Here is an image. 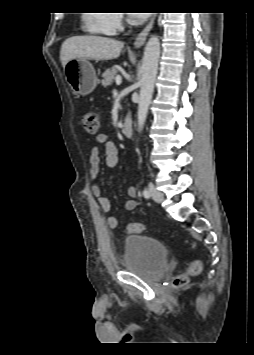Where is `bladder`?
Returning <instances> with one entry per match:
<instances>
[{
    "mask_svg": "<svg viewBox=\"0 0 254 355\" xmlns=\"http://www.w3.org/2000/svg\"><path fill=\"white\" fill-rule=\"evenodd\" d=\"M123 260L126 271L156 280L167 269L168 250L157 239L133 235L125 239Z\"/></svg>",
    "mask_w": 254,
    "mask_h": 355,
    "instance_id": "1",
    "label": "bladder"
}]
</instances>
